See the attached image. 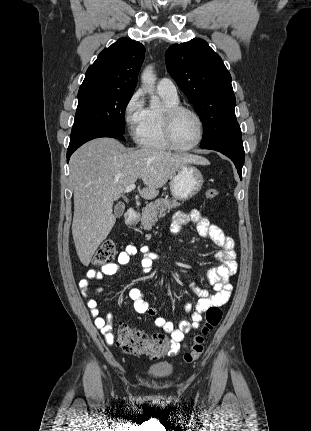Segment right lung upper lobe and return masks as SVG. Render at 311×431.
<instances>
[{
  "label": "right lung upper lobe",
  "instance_id": "right-lung-upper-lobe-1",
  "mask_svg": "<svg viewBox=\"0 0 311 431\" xmlns=\"http://www.w3.org/2000/svg\"><path fill=\"white\" fill-rule=\"evenodd\" d=\"M145 56V47L128 38H120L98 55L87 69L79 91L106 90L132 93Z\"/></svg>",
  "mask_w": 311,
  "mask_h": 431
}]
</instances>
